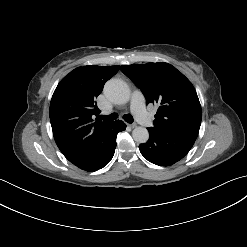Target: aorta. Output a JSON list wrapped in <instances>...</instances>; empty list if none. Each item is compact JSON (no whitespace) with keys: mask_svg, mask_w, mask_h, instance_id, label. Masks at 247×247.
<instances>
[{"mask_svg":"<svg viewBox=\"0 0 247 247\" xmlns=\"http://www.w3.org/2000/svg\"><path fill=\"white\" fill-rule=\"evenodd\" d=\"M104 94L114 104H126L130 99L128 85L120 79H111L104 86ZM132 137L137 143H145L149 138V132L144 127H136L132 131Z\"/></svg>","mask_w":247,"mask_h":247,"instance_id":"aorta-1","label":"aorta"}]
</instances>
